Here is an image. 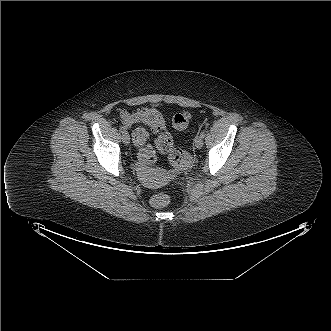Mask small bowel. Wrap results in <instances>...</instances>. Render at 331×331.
Returning a JSON list of instances; mask_svg holds the SVG:
<instances>
[{
	"instance_id": "1",
	"label": "small bowel",
	"mask_w": 331,
	"mask_h": 331,
	"mask_svg": "<svg viewBox=\"0 0 331 331\" xmlns=\"http://www.w3.org/2000/svg\"><path fill=\"white\" fill-rule=\"evenodd\" d=\"M147 108H140L134 112H128L126 110H122L120 112V119L124 126L128 129L132 128L134 125L143 123V112ZM138 129L136 128L133 133V142L139 149V160L142 164H149L154 160V152L152 147L148 144V134L142 135L138 133Z\"/></svg>"
}]
</instances>
